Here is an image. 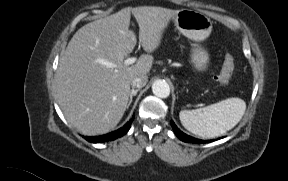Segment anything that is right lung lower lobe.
Listing matches in <instances>:
<instances>
[{"label":"right lung lower lobe","instance_id":"98d812e1","mask_svg":"<svg viewBox=\"0 0 288 181\" xmlns=\"http://www.w3.org/2000/svg\"><path fill=\"white\" fill-rule=\"evenodd\" d=\"M134 118L135 117L133 116L123 127H121L120 129L116 131L110 132L105 135L94 136V137L85 136L84 139H86L88 142H93V143L113 141L117 138L124 136L129 131Z\"/></svg>","mask_w":288,"mask_h":181}]
</instances>
